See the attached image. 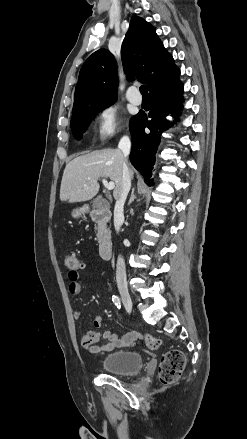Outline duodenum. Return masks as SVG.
<instances>
[{
    "instance_id": "1",
    "label": "duodenum",
    "mask_w": 247,
    "mask_h": 439,
    "mask_svg": "<svg viewBox=\"0 0 247 439\" xmlns=\"http://www.w3.org/2000/svg\"><path fill=\"white\" fill-rule=\"evenodd\" d=\"M91 218L99 225H105L111 218V212L108 209H92ZM113 242L108 236H102L99 241V254L103 259H109L112 255Z\"/></svg>"
}]
</instances>
